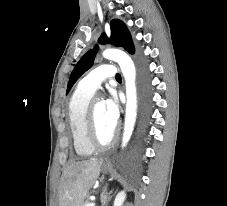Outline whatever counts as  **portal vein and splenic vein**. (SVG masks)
<instances>
[{
  "label": "portal vein and splenic vein",
  "mask_w": 227,
  "mask_h": 206,
  "mask_svg": "<svg viewBox=\"0 0 227 206\" xmlns=\"http://www.w3.org/2000/svg\"><path fill=\"white\" fill-rule=\"evenodd\" d=\"M86 206H95L94 202L88 203Z\"/></svg>",
  "instance_id": "1"
}]
</instances>
